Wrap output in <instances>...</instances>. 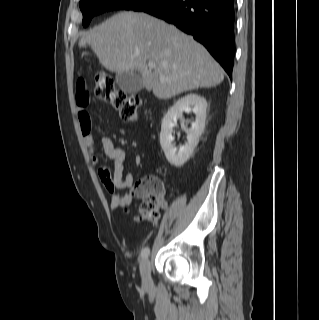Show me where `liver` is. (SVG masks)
I'll use <instances>...</instances> for the list:
<instances>
[{
  "label": "liver",
  "mask_w": 319,
  "mask_h": 320,
  "mask_svg": "<svg viewBox=\"0 0 319 320\" xmlns=\"http://www.w3.org/2000/svg\"><path fill=\"white\" fill-rule=\"evenodd\" d=\"M78 45L90 46L111 72L137 70L143 87L159 99L214 87L224 79L222 68L201 44L145 13H118L83 34ZM149 62L155 63L154 69Z\"/></svg>",
  "instance_id": "1"
}]
</instances>
